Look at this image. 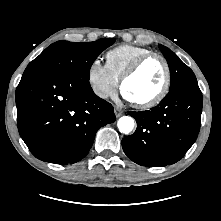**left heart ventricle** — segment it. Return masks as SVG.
Listing matches in <instances>:
<instances>
[{"label":"left heart ventricle","mask_w":221,"mask_h":221,"mask_svg":"<svg viewBox=\"0 0 221 221\" xmlns=\"http://www.w3.org/2000/svg\"><path fill=\"white\" fill-rule=\"evenodd\" d=\"M165 79V69L157 58L148 60L142 68L124 84V91L133 102L146 101L155 96Z\"/></svg>","instance_id":"1"}]
</instances>
